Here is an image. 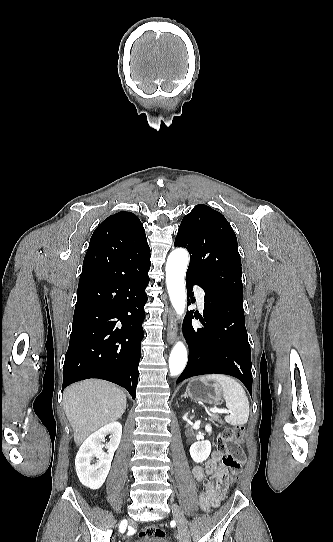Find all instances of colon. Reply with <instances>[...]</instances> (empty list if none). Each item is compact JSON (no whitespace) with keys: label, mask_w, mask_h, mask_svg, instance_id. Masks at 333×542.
<instances>
[{"label":"colon","mask_w":333,"mask_h":542,"mask_svg":"<svg viewBox=\"0 0 333 542\" xmlns=\"http://www.w3.org/2000/svg\"><path fill=\"white\" fill-rule=\"evenodd\" d=\"M245 436V430L241 426H225L220 432L217 440V447L223 454L224 464L229 468L231 476L223 479L219 485V491L225 494L228 490L230 482L236 479L237 474L241 470V453L238 445L242 443ZM143 541L162 540L164 531L157 525L146 526L139 534Z\"/></svg>","instance_id":"1"}]
</instances>
